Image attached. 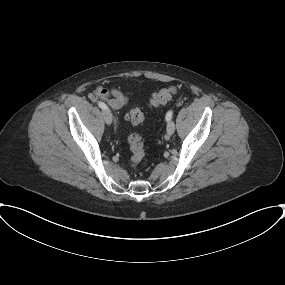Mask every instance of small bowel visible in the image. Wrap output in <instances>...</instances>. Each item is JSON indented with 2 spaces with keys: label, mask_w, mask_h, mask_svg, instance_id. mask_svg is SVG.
Returning a JSON list of instances; mask_svg holds the SVG:
<instances>
[{
  "label": "small bowel",
  "mask_w": 285,
  "mask_h": 285,
  "mask_svg": "<svg viewBox=\"0 0 285 285\" xmlns=\"http://www.w3.org/2000/svg\"><path fill=\"white\" fill-rule=\"evenodd\" d=\"M95 97L105 101L110 107L115 110L123 108L129 99V94L117 88H106L99 86L94 91Z\"/></svg>",
  "instance_id": "obj_1"
}]
</instances>
